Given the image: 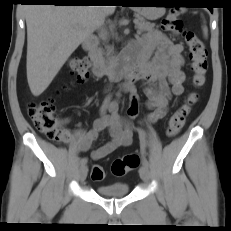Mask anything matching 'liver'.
Wrapping results in <instances>:
<instances>
[{
	"label": "liver",
	"mask_w": 231,
	"mask_h": 231,
	"mask_svg": "<svg viewBox=\"0 0 231 231\" xmlns=\"http://www.w3.org/2000/svg\"><path fill=\"white\" fill-rule=\"evenodd\" d=\"M101 9L113 14L115 6L28 5L27 80L34 96L50 85L71 54L101 23Z\"/></svg>",
	"instance_id": "6515ba94"
}]
</instances>
